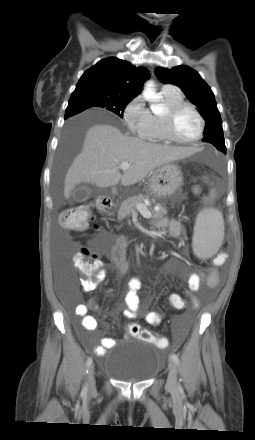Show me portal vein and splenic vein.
Here are the masks:
<instances>
[{
  "label": "portal vein and splenic vein",
  "mask_w": 255,
  "mask_h": 440,
  "mask_svg": "<svg viewBox=\"0 0 255 440\" xmlns=\"http://www.w3.org/2000/svg\"><path fill=\"white\" fill-rule=\"evenodd\" d=\"M119 167L120 169L126 171L131 167V165L128 162H121ZM136 209L144 218H151L152 214L144 204H137Z\"/></svg>",
  "instance_id": "portal-vein-and-splenic-vein-1"
}]
</instances>
